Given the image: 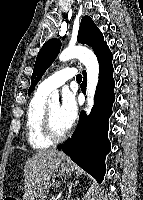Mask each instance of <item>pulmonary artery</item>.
Listing matches in <instances>:
<instances>
[{
    "mask_svg": "<svg viewBox=\"0 0 143 200\" xmlns=\"http://www.w3.org/2000/svg\"><path fill=\"white\" fill-rule=\"evenodd\" d=\"M77 74L76 69L74 68H65L63 70H60L51 76L44 79L40 85L39 89L46 93H51L58 87L62 86L66 83L67 80L75 77Z\"/></svg>",
    "mask_w": 143,
    "mask_h": 200,
    "instance_id": "e3ab8cb5",
    "label": "pulmonary artery"
}]
</instances>
